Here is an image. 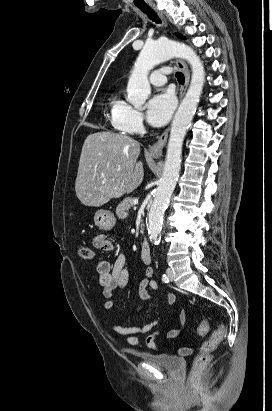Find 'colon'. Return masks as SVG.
<instances>
[{
	"instance_id": "5ec220e1",
	"label": "colon",
	"mask_w": 272,
	"mask_h": 411,
	"mask_svg": "<svg viewBox=\"0 0 272 411\" xmlns=\"http://www.w3.org/2000/svg\"><path fill=\"white\" fill-rule=\"evenodd\" d=\"M81 258L85 260H91L94 256L92 249L89 246H81L78 250ZM209 330V320L204 319L198 326L197 332L200 336H204ZM226 329L223 324H219L218 327L214 330L212 335L208 340H206L196 356L191 372L189 375V384L192 387L201 386V377L203 372L206 370L210 363L211 354L217 348V346L223 341L225 337Z\"/></svg>"
}]
</instances>
